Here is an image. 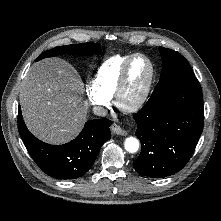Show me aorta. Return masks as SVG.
Segmentation results:
<instances>
[{
    "label": "aorta",
    "instance_id": "1",
    "mask_svg": "<svg viewBox=\"0 0 221 221\" xmlns=\"http://www.w3.org/2000/svg\"><path fill=\"white\" fill-rule=\"evenodd\" d=\"M125 149L129 152V153H135L138 151L139 149V142L136 138L134 137H128L125 140L124 143Z\"/></svg>",
    "mask_w": 221,
    "mask_h": 221
}]
</instances>
